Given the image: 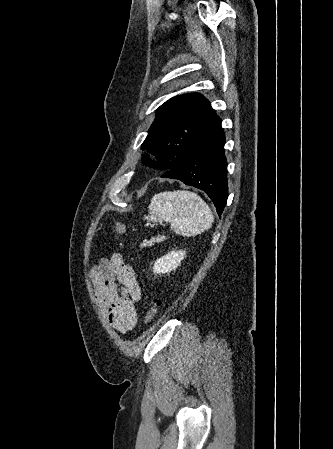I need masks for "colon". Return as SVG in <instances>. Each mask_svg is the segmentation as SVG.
Returning <instances> with one entry per match:
<instances>
[{
    "label": "colon",
    "instance_id": "5ec220e1",
    "mask_svg": "<svg viewBox=\"0 0 333 449\" xmlns=\"http://www.w3.org/2000/svg\"><path fill=\"white\" fill-rule=\"evenodd\" d=\"M115 231L120 234L124 235L126 234L127 228L124 223L122 222H116L115 223ZM161 305V301L158 299L152 300L151 306L148 308L146 315H145V323L149 324L152 323L158 314V309Z\"/></svg>",
    "mask_w": 333,
    "mask_h": 449
}]
</instances>
